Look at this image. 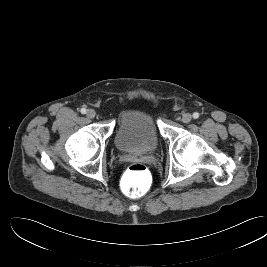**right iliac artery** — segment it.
I'll return each mask as SVG.
<instances>
[{"label":"right iliac artery","mask_w":267,"mask_h":267,"mask_svg":"<svg viewBox=\"0 0 267 267\" xmlns=\"http://www.w3.org/2000/svg\"><path fill=\"white\" fill-rule=\"evenodd\" d=\"M80 112H81L82 114H86L87 111H86L85 108H81Z\"/></svg>","instance_id":"82829eb1"}]
</instances>
